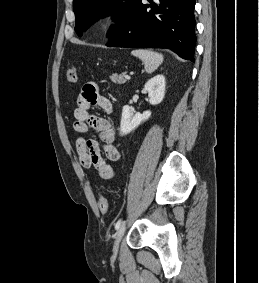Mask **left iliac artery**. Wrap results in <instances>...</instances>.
I'll return each mask as SVG.
<instances>
[{
    "mask_svg": "<svg viewBox=\"0 0 259 283\" xmlns=\"http://www.w3.org/2000/svg\"><path fill=\"white\" fill-rule=\"evenodd\" d=\"M122 220H118L117 223L115 224V229H118L121 226Z\"/></svg>",
    "mask_w": 259,
    "mask_h": 283,
    "instance_id": "left-iliac-artery-1",
    "label": "left iliac artery"
}]
</instances>
